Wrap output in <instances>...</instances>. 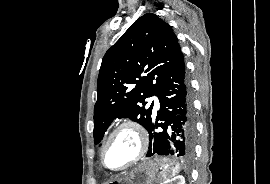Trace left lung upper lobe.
<instances>
[{
	"mask_svg": "<svg viewBox=\"0 0 270 184\" xmlns=\"http://www.w3.org/2000/svg\"><path fill=\"white\" fill-rule=\"evenodd\" d=\"M181 53L172 28L157 15L138 18L103 57L94 107V142L98 144L115 118H130L146 129L158 90Z\"/></svg>",
	"mask_w": 270,
	"mask_h": 184,
	"instance_id": "1",
	"label": "left lung upper lobe"
}]
</instances>
